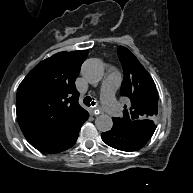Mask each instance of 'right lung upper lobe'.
<instances>
[{"label":"right lung upper lobe","mask_w":193,"mask_h":193,"mask_svg":"<svg viewBox=\"0 0 193 193\" xmlns=\"http://www.w3.org/2000/svg\"><path fill=\"white\" fill-rule=\"evenodd\" d=\"M87 55V50L54 54L35 66L19 85L17 120L37 150L56 153L65 148L88 119V112L78 104L75 87Z\"/></svg>","instance_id":"right-lung-upper-lobe-1"}]
</instances>
